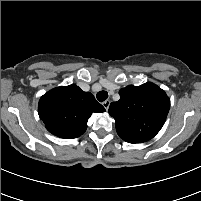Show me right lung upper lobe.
<instances>
[{
	"label": "right lung upper lobe",
	"instance_id": "right-lung-upper-lobe-1",
	"mask_svg": "<svg viewBox=\"0 0 201 201\" xmlns=\"http://www.w3.org/2000/svg\"><path fill=\"white\" fill-rule=\"evenodd\" d=\"M104 111L90 92H84L74 84L48 91L38 104V114L46 129L65 139L81 136L91 114Z\"/></svg>",
	"mask_w": 201,
	"mask_h": 201
}]
</instances>
